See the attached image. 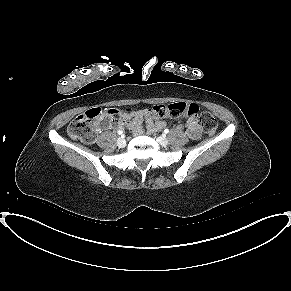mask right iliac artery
<instances>
[{
  "instance_id": "1",
  "label": "right iliac artery",
  "mask_w": 291,
  "mask_h": 291,
  "mask_svg": "<svg viewBox=\"0 0 291 291\" xmlns=\"http://www.w3.org/2000/svg\"><path fill=\"white\" fill-rule=\"evenodd\" d=\"M118 134H119V135H122V134H123V131L119 130V131H118Z\"/></svg>"
}]
</instances>
